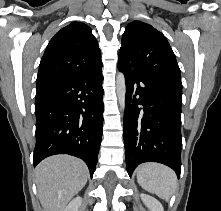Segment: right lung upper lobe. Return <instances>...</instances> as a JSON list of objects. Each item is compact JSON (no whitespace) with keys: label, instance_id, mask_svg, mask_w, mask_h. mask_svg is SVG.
<instances>
[{"label":"right lung upper lobe","instance_id":"right-lung-upper-lobe-1","mask_svg":"<svg viewBox=\"0 0 221 211\" xmlns=\"http://www.w3.org/2000/svg\"><path fill=\"white\" fill-rule=\"evenodd\" d=\"M101 67V52L90 27L73 22L57 32L49 42L39 65L36 88Z\"/></svg>","mask_w":221,"mask_h":211}]
</instances>
